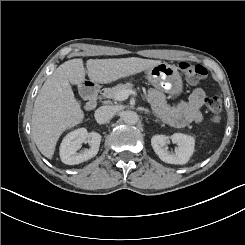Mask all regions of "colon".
Instances as JSON below:
<instances>
[{
	"label": "colon",
	"instance_id": "5ec220e1",
	"mask_svg": "<svg viewBox=\"0 0 245 245\" xmlns=\"http://www.w3.org/2000/svg\"><path fill=\"white\" fill-rule=\"evenodd\" d=\"M179 69L191 83H199L207 74L204 67L190 62H181L179 64ZM205 103L209 113L211 114L212 121L218 124L221 121L222 111V102L220 98L217 96L208 97L206 98Z\"/></svg>",
	"mask_w": 245,
	"mask_h": 245
}]
</instances>
